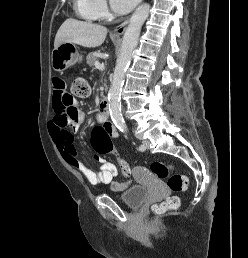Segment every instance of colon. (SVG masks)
<instances>
[{
    "label": "colon",
    "instance_id": "1",
    "mask_svg": "<svg viewBox=\"0 0 248 258\" xmlns=\"http://www.w3.org/2000/svg\"><path fill=\"white\" fill-rule=\"evenodd\" d=\"M71 93L75 97H87L90 93V88L87 80L81 76H76L72 80ZM77 109L71 108L68 112L58 114L63 125L68 126ZM94 148L98 155H111L115 159V165L118 169H122L124 175L129 174V166L131 161L127 158H122V155L116 150V145L111 144L110 135L102 127H97L93 131ZM150 169L154 175L166 180L168 187L175 192H182L188 188V178L184 175L174 173V167L170 163L153 162ZM181 205L180 198L172 196L164 202L154 207L156 212H164L167 210L177 209Z\"/></svg>",
    "mask_w": 248,
    "mask_h": 258
}]
</instances>
